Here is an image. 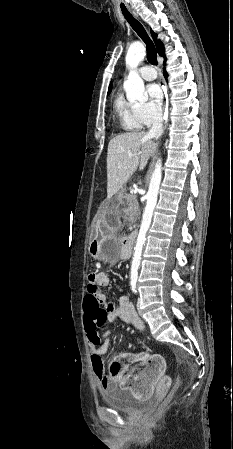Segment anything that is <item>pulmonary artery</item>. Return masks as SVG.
I'll list each match as a JSON object with an SVG mask.
<instances>
[{
	"mask_svg": "<svg viewBox=\"0 0 233 449\" xmlns=\"http://www.w3.org/2000/svg\"><path fill=\"white\" fill-rule=\"evenodd\" d=\"M140 76L146 81H152L157 78V72L152 66L145 65L140 69Z\"/></svg>",
	"mask_w": 233,
	"mask_h": 449,
	"instance_id": "e3ab8cb5",
	"label": "pulmonary artery"
}]
</instances>
